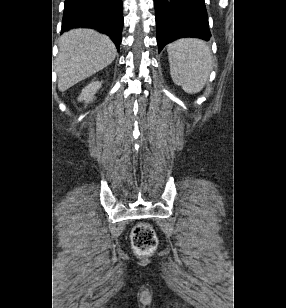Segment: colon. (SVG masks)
Returning a JSON list of instances; mask_svg holds the SVG:
<instances>
[{
    "label": "colon",
    "mask_w": 286,
    "mask_h": 308,
    "mask_svg": "<svg viewBox=\"0 0 286 308\" xmlns=\"http://www.w3.org/2000/svg\"><path fill=\"white\" fill-rule=\"evenodd\" d=\"M130 239L134 250L141 255L152 253L158 245L157 235L152 226L147 223L136 225Z\"/></svg>",
    "instance_id": "obj_1"
}]
</instances>
